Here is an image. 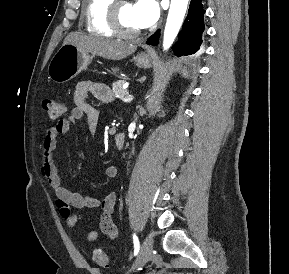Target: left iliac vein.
Listing matches in <instances>:
<instances>
[{"label":"left iliac vein","mask_w":289,"mask_h":274,"mask_svg":"<svg viewBox=\"0 0 289 274\" xmlns=\"http://www.w3.org/2000/svg\"><path fill=\"white\" fill-rule=\"evenodd\" d=\"M152 250H153V238L151 234H148L146 238L144 239L140 253L136 260L133 263V266H143L145 265L152 256Z\"/></svg>","instance_id":"left-iliac-vein-1"}]
</instances>
